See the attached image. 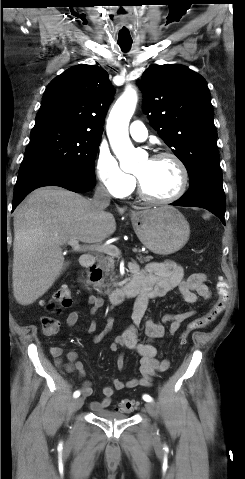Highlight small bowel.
Segmentation results:
<instances>
[{
    "mask_svg": "<svg viewBox=\"0 0 245 479\" xmlns=\"http://www.w3.org/2000/svg\"><path fill=\"white\" fill-rule=\"evenodd\" d=\"M130 271L136 272L141 278L143 287L141 293L136 298L131 315V324L110 344L111 351H118L123 348L131 350L140 356L139 377L131 378L127 381H121L117 378L112 379V384L106 385L102 389L103 397L99 401H92L89 404L93 412H101L111 405L112 397L115 391L123 389H134L136 387H151L154 378L162 372L169 369L170 363L167 359L161 357V354L155 344V340L165 335V326L150 318L145 319L149 301L166 295L170 290L178 288L180 296L187 304H195L200 298H209L211 290L207 286V276L204 273H194L185 275L182 267L172 261L150 262L143 268L138 264L131 263ZM88 303L91 306V312L95 313L104 304V300L97 295H90ZM195 314L194 310H188L175 315H166L163 323L169 324V333H176L181 325ZM81 317L80 311H72L66 318V324L73 327ZM144 323L145 333L148 340L140 342L137 337L138 327ZM112 319L108 317L105 328L100 333H95L96 324L92 323L89 332L93 334V340L99 342L103 340L112 330ZM55 365L63 373H77L82 379L87 376L83 363L78 359L75 351H69L66 354V361L63 360V350L58 346H52L49 349ZM116 365L119 371L125 367L124 354L117 356ZM81 393L84 397L92 394V387L89 381L85 380L81 387Z\"/></svg>",
    "mask_w": 245,
    "mask_h": 479,
    "instance_id": "obj_1",
    "label": "small bowel"
}]
</instances>
